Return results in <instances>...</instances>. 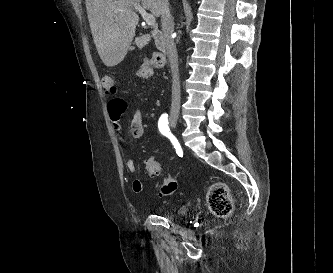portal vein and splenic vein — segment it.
Segmentation results:
<instances>
[{
    "label": "portal vein and splenic vein",
    "mask_w": 333,
    "mask_h": 273,
    "mask_svg": "<svg viewBox=\"0 0 333 273\" xmlns=\"http://www.w3.org/2000/svg\"><path fill=\"white\" fill-rule=\"evenodd\" d=\"M134 9L137 10L141 16L143 17V19L145 20V22L150 25L153 26L156 23L155 17L151 14H148L146 12V10L139 4H134L133 5ZM120 11V9H116L115 13H118Z\"/></svg>",
    "instance_id": "1"
}]
</instances>
